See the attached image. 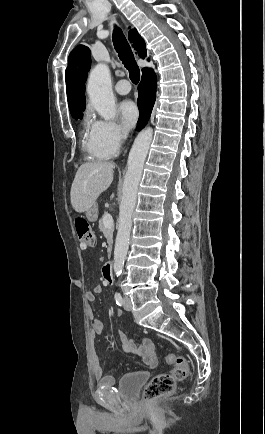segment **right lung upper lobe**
<instances>
[{"mask_svg":"<svg viewBox=\"0 0 265 434\" xmlns=\"http://www.w3.org/2000/svg\"><path fill=\"white\" fill-rule=\"evenodd\" d=\"M129 41L142 58L146 56L144 40L137 30L128 32ZM91 66L90 50L84 45L75 47L68 57V67L65 72L68 104L85 102V81Z\"/></svg>","mask_w":265,"mask_h":434,"instance_id":"cb5924a9","label":"right lung upper lobe"}]
</instances>
